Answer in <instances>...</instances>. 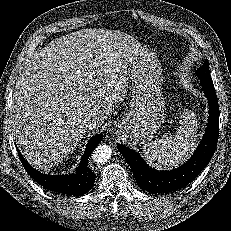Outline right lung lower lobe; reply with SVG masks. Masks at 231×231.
I'll use <instances>...</instances> for the list:
<instances>
[{
	"label": "right lung lower lobe",
	"instance_id": "1",
	"mask_svg": "<svg viewBox=\"0 0 231 231\" xmlns=\"http://www.w3.org/2000/svg\"><path fill=\"white\" fill-rule=\"evenodd\" d=\"M103 135L92 137L86 145L84 155L75 174L46 175L38 172L24 159L19 152V158L27 173L44 188L68 195L80 196L88 192L95 182V174L88 167V157L91 151L102 140Z\"/></svg>",
	"mask_w": 231,
	"mask_h": 231
}]
</instances>
